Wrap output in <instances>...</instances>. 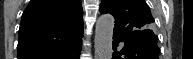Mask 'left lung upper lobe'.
I'll list each match as a JSON object with an SVG mask.
<instances>
[{
	"instance_id": "obj_1",
	"label": "left lung upper lobe",
	"mask_w": 193,
	"mask_h": 59,
	"mask_svg": "<svg viewBox=\"0 0 193 59\" xmlns=\"http://www.w3.org/2000/svg\"><path fill=\"white\" fill-rule=\"evenodd\" d=\"M100 13H110L114 16V32L123 35L129 32H153L154 19L144 0H102Z\"/></svg>"
}]
</instances>
